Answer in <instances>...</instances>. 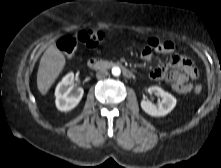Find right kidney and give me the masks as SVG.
I'll return each instance as SVG.
<instances>
[{"label":"right kidney","mask_w":221,"mask_h":168,"mask_svg":"<svg viewBox=\"0 0 221 168\" xmlns=\"http://www.w3.org/2000/svg\"><path fill=\"white\" fill-rule=\"evenodd\" d=\"M74 74H67L62 81L57 85L55 90L56 107L62 112H67L74 109L83 97V89L78 88L73 91Z\"/></svg>","instance_id":"1"}]
</instances>
